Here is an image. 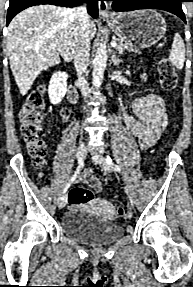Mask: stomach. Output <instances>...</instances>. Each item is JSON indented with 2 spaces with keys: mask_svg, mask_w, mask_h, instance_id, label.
<instances>
[{
  "mask_svg": "<svg viewBox=\"0 0 193 287\" xmlns=\"http://www.w3.org/2000/svg\"><path fill=\"white\" fill-rule=\"evenodd\" d=\"M107 24L120 39L134 48L156 44L167 27L162 15L150 9L121 13Z\"/></svg>",
  "mask_w": 193,
  "mask_h": 287,
  "instance_id": "0dacf381",
  "label": "stomach"
}]
</instances>
